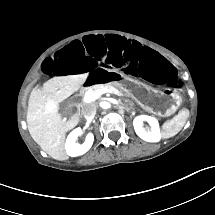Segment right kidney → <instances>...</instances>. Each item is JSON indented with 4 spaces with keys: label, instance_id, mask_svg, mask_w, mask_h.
Segmentation results:
<instances>
[{
    "label": "right kidney",
    "instance_id": "ca27d5eb",
    "mask_svg": "<svg viewBox=\"0 0 215 215\" xmlns=\"http://www.w3.org/2000/svg\"><path fill=\"white\" fill-rule=\"evenodd\" d=\"M82 129L80 127L75 128L70 132L68 135L66 142H65V149L66 153L69 156H81L85 154L92 146L94 137L92 134H88L85 138V141L83 144L76 143V138L81 134Z\"/></svg>",
    "mask_w": 215,
    "mask_h": 215
}]
</instances>
